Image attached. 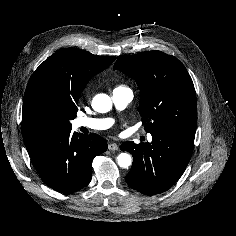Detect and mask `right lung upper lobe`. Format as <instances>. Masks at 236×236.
Wrapping results in <instances>:
<instances>
[{"instance_id":"right-lung-upper-lobe-1","label":"right lung upper lobe","mask_w":236,"mask_h":236,"mask_svg":"<svg viewBox=\"0 0 236 236\" xmlns=\"http://www.w3.org/2000/svg\"><path fill=\"white\" fill-rule=\"evenodd\" d=\"M115 60L82 49L63 48L48 57L31 76L23 100L21 130L24 143L38 136L28 128L27 118L33 96L46 92L76 106L88 81Z\"/></svg>"}]
</instances>
